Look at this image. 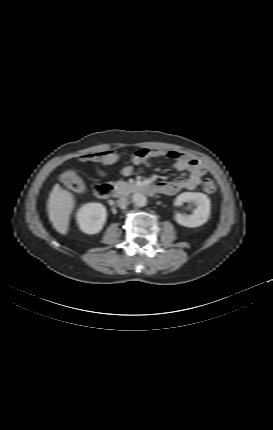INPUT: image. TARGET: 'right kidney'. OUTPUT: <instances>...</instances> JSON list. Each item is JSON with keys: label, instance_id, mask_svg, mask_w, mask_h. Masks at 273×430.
<instances>
[{"label": "right kidney", "instance_id": "obj_1", "mask_svg": "<svg viewBox=\"0 0 273 430\" xmlns=\"http://www.w3.org/2000/svg\"><path fill=\"white\" fill-rule=\"evenodd\" d=\"M106 208L97 202L83 205L77 213L80 229L87 234L100 232L106 221Z\"/></svg>", "mask_w": 273, "mask_h": 430}]
</instances>
